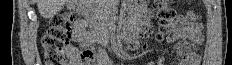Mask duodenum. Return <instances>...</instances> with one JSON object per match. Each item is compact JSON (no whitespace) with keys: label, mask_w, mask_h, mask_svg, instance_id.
<instances>
[{"label":"duodenum","mask_w":232,"mask_h":65,"mask_svg":"<svg viewBox=\"0 0 232 65\" xmlns=\"http://www.w3.org/2000/svg\"><path fill=\"white\" fill-rule=\"evenodd\" d=\"M74 7L82 12L84 15H88L90 12L89 6L86 1H76ZM139 23L134 19L123 29L122 38L125 41H133L135 33H137ZM94 41L101 45H105L109 41V37L103 32H97L94 35Z\"/></svg>","instance_id":"obj_1"}]
</instances>
